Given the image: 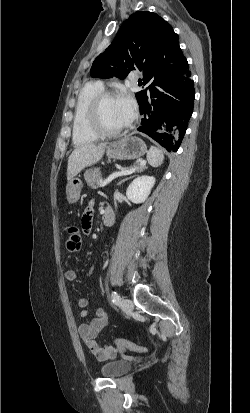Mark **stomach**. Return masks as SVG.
Segmentation results:
<instances>
[{
    "label": "stomach",
    "mask_w": 250,
    "mask_h": 413,
    "mask_svg": "<svg viewBox=\"0 0 250 413\" xmlns=\"http://www.w3.org/2000/svg\"><path fill=\"white\" fill-rule=\"evenodd\" d=\"M147 152V146L138 137L126 136L120 141L114 142L107 147V157L110 159L130 160L137 159ZM82 182L79 178L68 181L66 186L67 201L69 204L76 203L80 198Z\"/></svg>",
    "instance_id": "obj_1"
}]
</instances>
